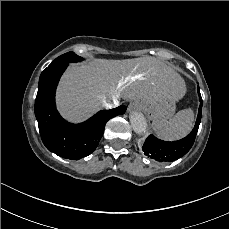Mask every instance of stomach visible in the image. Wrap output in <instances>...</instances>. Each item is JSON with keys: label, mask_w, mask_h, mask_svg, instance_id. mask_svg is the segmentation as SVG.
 I'll list each match as a JSON object with an SVG mask.
<instances>
[{"label": "stomach", "mask_w": 229, "mask_h": 229, "mask_svg": "<svg viewBox=\"0 0 229 229\" xmlns=\"http://www.w3.org/2000/svg\"><path fill=\"white\" fill-rule=\"evenodd\" d=\"M141 108L147 116L151 119H161V118H169L172 116L174 112V103L172 102H160V103H141Z\"/></svg>", "instance_id": "0dacf381"}]
</instances>
